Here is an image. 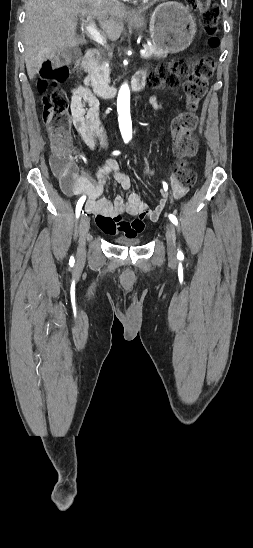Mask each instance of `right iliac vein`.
<instances>
[{
	"label": "right iliac vein",
	"instance_id": "obj_1",
	"mask_svg": "<svg viewBox=\"0 0 253 548\" xmlns=\"http://www.w3.org/2000/svg\"><path fill=\"white\" fill-rule=\"evenodd\" d=\"M90 228V220L85 215H82L79 222V246H78V259L83 260L86 255L85 240Z\"/></svg>",
	"mask_w": 253,
	"mask_h": 548
}]
</instances>
